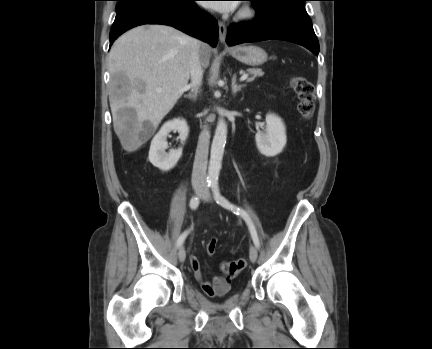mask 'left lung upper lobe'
I'll list each match as a JSON object with an SVG mask.
<instances>
[{"label":"left lung upper lobe","mask_w":432,"mask_h":349,"mask_svg":"<svg viewBox=\"0 0 432 349\" xmlns=\"http://www.w3.org/2000/svg\"><path fill=\"white\" fill-rule=\"evenodd\" d=\"M249 1L257 2V1H264V0H249ZM287 1H291L293 3H297V4H300V5H303L304 1H306V0H287Z\"/></svg>","instance_id":"1"}]
</instances>
